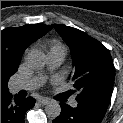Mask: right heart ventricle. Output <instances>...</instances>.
Segmentation results:
<instances>
[{"label":"right heart ventricle","instance_id":"e07e8e85","mask_svg":"<svg viewBox=\"0 0 123 123\" xmlns=\"http://www.w3.org/2000/svg\"><path fill=\"white\" fill-rule=\"evenodd\" d=\"M54 47H64V46H63L60 42L54 41V42L52 43L51 48H54Z\"/></svg>","mask_w":123,"mask_h":123}]
</instances>
